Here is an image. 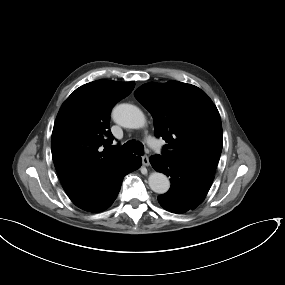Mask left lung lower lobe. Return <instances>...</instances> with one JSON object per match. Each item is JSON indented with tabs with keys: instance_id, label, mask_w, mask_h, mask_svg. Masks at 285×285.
Listing matches in <instances>:
<instances>
[{
	"instance_id": "1",
	"label": "left lung lower lobe",
	"mask_w": 285,
	"mask_h": 285,
	"mask_svg": "<svg viewBox=\"0 0 285 285\" xmlns=\"http://www.w3.org/2000/svg\"><path fill=\"white\" fill-rule=\"evenodd\" d=\"M149 161L156 171L170 177V190L158 197L164 209L181 214L194 210L205 199L214 175L160 155L151 156Z\"/></svg>"
}]
</instances>
